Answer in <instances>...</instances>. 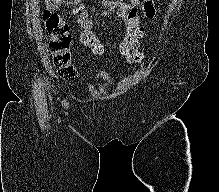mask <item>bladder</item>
I'll use <instances>...</instances> for the list:
<instances>
[{
	"mask_svg": "<svg viewBox=\"0 0 219 192\" xmlns=\"http://www.w3.org/2000/svg\"><path fill=\"white\" fill-rule=\"evenodd\" d=\"M88 89L106 85L110 81V76L106 72H95L85 79Z\"/></svg>",
	"mask_w": 219,
	"mask_h": 192,
	"instance_id": "1",
	"label": "bladder"
}]
</instances>
